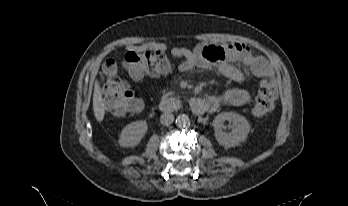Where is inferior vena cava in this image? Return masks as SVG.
Listing matches in <instances>:
<instances>
[{
	"label": "inferior vena cava",
	"instance_id": "602c4592",
	"mask_svg": "<svg viewBox=\"0 0 348 206\" xmlns=\"http://www.w3.org/2000/svg\"><path fill=\"white\" fill-rule=\"evenodd\" d=\"M174 121V115L171 112H164L160 117V122L163 125H170Z\"/></svg>",
	"mask_w": 348,
	"mask_h": 206
}]
</instances>
